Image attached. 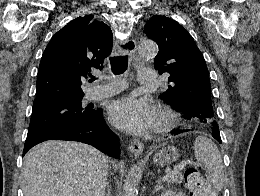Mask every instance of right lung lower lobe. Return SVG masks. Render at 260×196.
<instances>
[{
  "mask_svg": "<svg viewBox=\"0 0 260 196\" xmlns=\"http://www.w3.org/2000/svg\"><path fill=\"white\" fill-rule=\"evenodd\" d=\"M46 140L78 141L92 145L111 157L120 156L119 138L107 127L101 109L96 110L94 116L82 124L26 139L23 156L30 148Z\"/></svg>",
  "mask_w": 260,
  "mask_h": 196,
  "instance_id": "right-lung-lower-lobe-1",
  "label": "right lung lower lobe"
}]
</instances>
